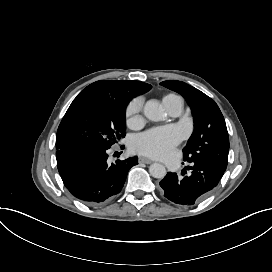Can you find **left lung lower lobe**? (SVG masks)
Wrapping results in <instances>:
<instances>
[{"instance_id": "1", "label": "left lung lower lobe", "mask_w": 272, "mask_h": 272, "mask_svg": "<svg viewBox=\"0 0 272 272\" xmlns=\"http://www.w3.org/2000/svg\"><path fill=\"white\" fill-rule=\"evenodd\" d=\"M191 176L180 180L176 173H167L160 186L164 196L179 205L191 206L216 187L225 170L201 161L193 162Z\"/></svg>"}]
</instances>
